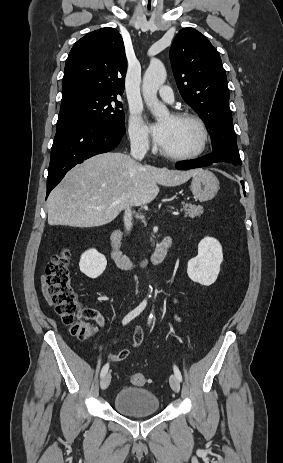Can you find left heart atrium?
Segmentation results:
<instances>
[{
	"mask_svg": "<svg viewBox=\"0 0 283 463\" xmlns=\"http://www.w3.org/2000/svg\"><path fill=\"white\" fill-rule=\"evenodd\" d=\"M150 132L153 136V139L155 143L158 146H162V144L165 142L166 136H167V126L164 123H156L151 125L150 127Z\"/></svg>",
	"mask_w": 283,
	"mask_h": 463,
	"instance_id": "obj_1",
	"label": "left heart atrium"
}]
</instances>
